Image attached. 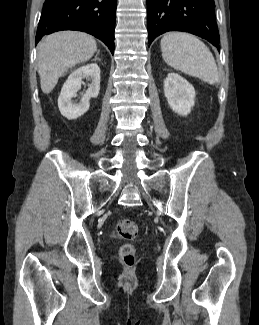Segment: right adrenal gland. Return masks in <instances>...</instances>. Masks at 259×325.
<instances>
[{"label":"right adrenal gland","mask_w":259,"mask_h":325,"mask_svg":"<svg viewBox=\"0 0 259 325\" xmlns=\"http://www.w3.org/2000/svg\"><path fill=\"white\" fill-rule=\"evenodd\" d=\"M98 54H99V52L96 54L95 59L93 61L99 60Z\"/></svg>","instance_id":"2a0ac1e0"}]
</instances>
